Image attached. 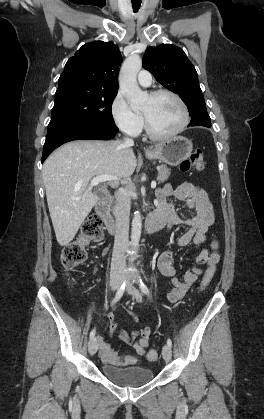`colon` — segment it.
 Wrapping results in <instances>:
<instances>
[{"instance_id":"5ec220e1","label":"colon","mask_w":264,"mask_h":419,"mask_svg":"<svg viewBox=\"0 0 264 419\" xmlns=\"http://www.w3.org/2000/svg\"><path fill=\"white\" fill-rule=\"evenodd\" d=\"M204 167V158L200 151H194L188 158L180 164L181 171H188L190 169L202 170ZM103 237V226L99 216H91L83 225L81 237L66 245L61 254V262L65 269L72 270L81 265L86 259L85 244L89 241H100ZM213 249L218 248V242L214 239L212 242ZM215 273V267H208L202 283L201 288L205 289L212 281ZM158 353L155 349H150L147 353V358L150 361H155Z\"/></svg>"}]
</instances>
